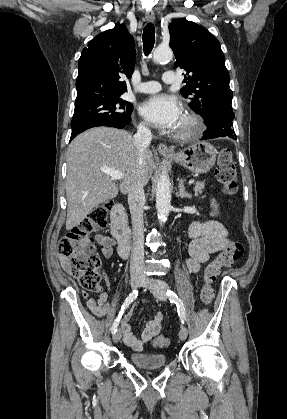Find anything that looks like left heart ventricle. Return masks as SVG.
Returning <instances> with one entry per match:
<instances>
[{"mask_svg": "<svg viewBox=\"0 0 287 419\" xmlns=\"http://www.w3.org/2000/svg\"><path fill=\"white\" fill-rule=\"evenodd\" d=\"M182 126H183V119L181 120V122H180V124L178 126V129H180Z\"/></svg>", "mask_w": 287, "mask_h": 419, "instance_id": "left-heart-ventricle-1", "label": "left heart ventricle"}]
</instances>
